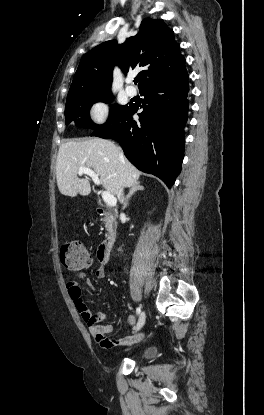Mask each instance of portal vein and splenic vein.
<instances>
[{
  "instance_id": "1",
  "label": "portal vein and splenic vein",
  "mask_w": 264,
  "mask_h": 415,
  "mask_svg": "<svg viewBox=\"0 0 264 415\" xmlns=\"http://www.w3.org/2000/svg\"><path fill=\"white\" fill-rule=\"evenodd\" d=\"M78 174L81 176V175H83V174H86V175H88L89 177H91L92 178V180H93V182L96 184V185H100L101 184V182H100V180H99V178H98V175L92 170V169H90V168H86V167H81V168H79V170H78ZM102 198H103V200H104V202L108 205V206H110V207H114V206H116V204H117V200H116V198L113 196V195H111L108 191H104L103 193H102Z\"/></svg>"
}]
</instances>
